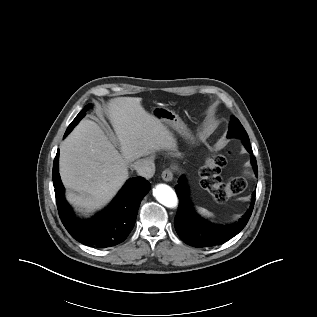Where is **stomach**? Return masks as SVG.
Listing matches in <instances>:
<instances>
[{"label": "stomach", "mask_w": 317, "mask_h": 317, "mask_svg": "<svg viewBox=\"0 0 317 317\" xmlns=\"http://www.w3.org/2000/svg\"><path fill=\"white\" fill-rule=\"evenodd\" d=\"M152 115L160 120L162 123H164L166 126L178 131L185 138H191V134L189 133L186 125L174 111L166 107L157 106L153 108Z\"/></svg>", "instance_id": "stomach-1"}]
</instances>
